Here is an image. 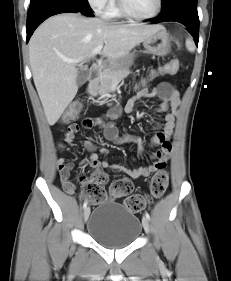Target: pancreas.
<instances>
[{
	"mask_svg": "<svg viewBox=\"0 0 231 281\" xmlns=\"http://www.w3.org/2000/svg\"><path fill=\"white\" fill-rule=\"evenodd\" d=\"M130 74L128 67H121L116 69H106L96 79H94L89 86V93L92 96H100L101 99L108 97L113 89V86L121 82ZM104 100L102 101V103Z\"/></svg>",
	"mask_w": 231,
	"mask_h": 281,
	"instance_id": "pancreas-1",
	"label": "pancreas"
}]
</instances>
